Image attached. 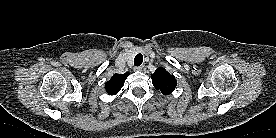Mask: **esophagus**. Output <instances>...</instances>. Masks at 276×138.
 Instances as JSON below:
<instances>
[{
  "instance_id": "obj_1",
  "label": "esophagus",
  "mask_w": 276,
  "mask_h": 138,
  "mask_svg": "<svg viewBox=\"0 0 276 138\" xmlns=\"http://www.w3.org/2000/svg\"><path fill=\"white\" fill-rule=\"evenodd\" d=\"M145 69H146L145 65H141V66L137 67V70L141 71V72L145 71Z\"/></svg>"
}]
</instances>
